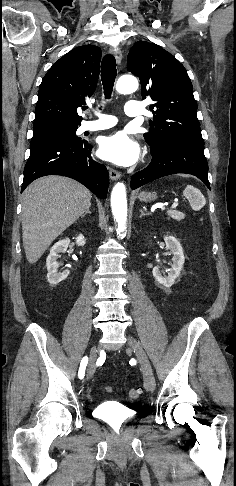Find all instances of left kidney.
Segmentation results:
<instances>
[{
    "mask_svg": "<svg viewBox=\"0 0 236 486\" xmlns=\"http://www.w3.org/2000/svg\"><path fill=\"white\" fill-rule=\"evenodd\" d=\"M164 241L166 243V248L172 253V264L169 269L168 276H164L159 267L153 268V276L156 281L162 286L169 288L171 287L176 278L179 277L181 270L183 269L185 257L183 254V248L180 242L173 236H165Z\"/></svg>",
    "mask_w": 236,
    "mask_h": 486,
    "instance_id": "5707ae66",
    "label": "left kidney"
}]
</instances>
